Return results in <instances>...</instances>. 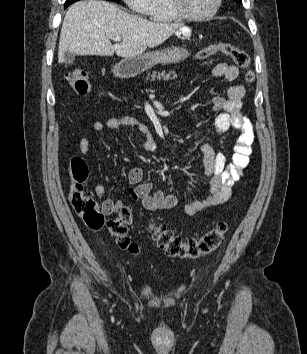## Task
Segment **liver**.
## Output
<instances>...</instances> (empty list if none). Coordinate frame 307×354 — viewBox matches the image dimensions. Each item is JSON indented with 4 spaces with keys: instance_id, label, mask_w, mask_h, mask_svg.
<instances>
[{
    "instance_id": "6515ba94",
    "label": "liver",
    "mask_w": 307,
    "mask_h": 354,
    "mask_svg": "<svg viewBox=\"0 0 307 354\" xmlns=\"http://www.w3.org/2000/svg\"><path fill=\"white\" fill-rule=\"evenodd\" d=\"M182 24L150 22L131 15L118 6L100 0L72 4L64 17L58 49V62L66 52L83 55L136 57L147 48L166 41ZM122 42L112 45L110 38Z\"/></svg>"
}]
</instances>
